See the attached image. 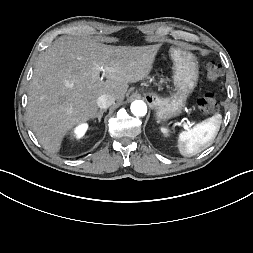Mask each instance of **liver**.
I'll return each mask as SVG.
<instances>
[{
  "mask_svg": "<svg viewBox=\"0 0 253 253\" xmlns=\"http://www.w3.org/2000/svg\"><path fill=\"white\" fill-rule=\"evenodd\" d=\"M159 48L72 37L55 42L37 61L28 90L27 124L43 148L58 153L69 132L97 114L100 95L123 101L128 83L148 77Z\"/></svg>",
  "mask_w": 253,
  "mask_h": 253,
  "instance_id": "liver-1",
  "label": "liver"
}]
</instances>
